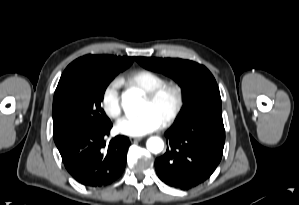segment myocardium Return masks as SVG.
Returning a JSON list of instances; mask_svg holds the SVG:
<instances>
[{
  "label": "myocardium",
  "mask_w": 299,
  "mask_h": 205,
  "mask_svg": "<svg viewBox=\"0 0 299 205\" xmlns=\"http://www.w3.org/2000/svg\"><path fill=\"white\" fill-rule=\"evenodd\" d=\"M166 93L173 95V105L170 112L162 120L164 126L172 124L182 111L184 105L183 87L177 82L169 81L163 82L154 89L144 93V98L151 103L158 101Z\"/></svg>",
  "instance_id": "1"
}]
</instances>
